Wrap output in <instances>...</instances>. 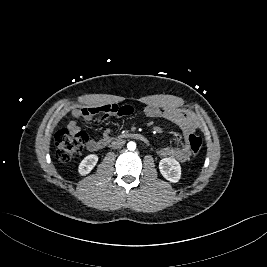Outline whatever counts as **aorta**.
<instances>
[{
	"instance_id": "obj_1",
	"label": "aorta",
	"mask_w": 267,
	"mask_h": 267,
	"mask_svg": "<svg viewBox=\"0 0 267 267\" xmlns=\"http://www.w3.org/2000/svg\"><path fill=\"white\" fill-rule=\"evenodd\" d=\"M127 148H128V150H130V151H134V150L136 149V143L133 142V141L128 142V144H127Z\"/></svg>"
}]
</instances>
